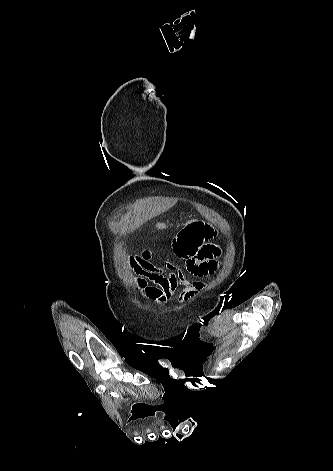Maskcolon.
I'll use <instances>...</instances> for the list:
<instances>
[{
	"mask_svg": "<svg viewBox=\"0 0 333 471\" xmlns=\"http://www.w3.org/2000/svg\"><path fill=\"white\" fill-rule=\"evenodd\" d=\"M156 227H157V228H164L165 225L160 223V224H157Z\"/></svg>",
	"mask_w": 333,
	"mask_h": 471,
	"instance_id": "5ec220e1",
	"label": "colon"
}]
</instances>
